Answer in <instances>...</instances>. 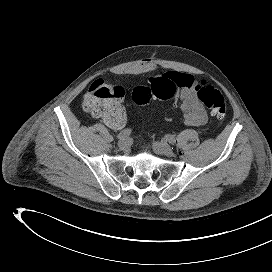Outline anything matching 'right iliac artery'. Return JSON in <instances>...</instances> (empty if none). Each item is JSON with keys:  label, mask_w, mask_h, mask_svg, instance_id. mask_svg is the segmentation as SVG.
Instances as JSON below:
<instances>
[{"label": "right iliac artery", "mask_w": 272, "mask_h": 272, "mask_svg": "<svg viewBox=\"0 0 272 272\" xmlns=\"http://www.w3.org/2000/svg\"><path fill=\"white\" fill-rule=\"evenodd\" d=\"M131 134V129H124L122 130L119 134H118V138L121 139V138H125V137H128L129 135Z\"/></svg>", "instance_id": "obj_1"}]
</instances>
